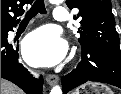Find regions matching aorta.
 Returning <instances> with one entry per match:
<instances>
[{
	"label": "aorta",
	"mask_w": 121,
	"mask_h": 94,
	"mask_svg": "<svg viewBox=\"0 0 121 94\" xmlns=\"http://www.w3.org/2000/svg\"><path fill=\"white\" fill-rule=\"evenodd\" d=\"M50 2L54 3V4H60L63 2V0H50ZM50 94H62V90H61L60 86H54L51 89Z\"/></svg>",
	"instance_id": "1"
}]
</instances>
